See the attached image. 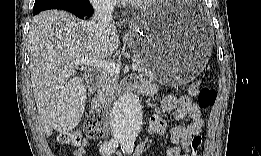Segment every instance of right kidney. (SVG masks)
I'll return each mask as SVG.
<instances>
[{"instance_id":"right-kidney-1","label":"right kidney","mask_w":261,"mask_h":156,"mask_svg":"<svg viewBox=\"0 0 261 156\" xmlns=\"http://www.w3.org/2000/svg\"><path fill=\"white\" fill-rule=\"evenodd\" d=\"M76 83H78V81H75ZM73 85H75L74 81L71 82Z\"/></svg>"}]
</instances>
